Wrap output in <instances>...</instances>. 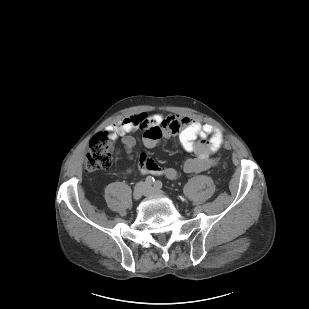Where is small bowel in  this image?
I'll use <instances>...</instances> for the list:
<instances>
[{
  "label": "small bowel",
  "instance_id": "1",
  "mask_svg": "<svg viewBox=\"0 0 309 309\" xmlns=\"http://www.w3.org/2000/svg\"><path fill=\"white\" fill-rule=\"evenodd\" d=\"M138 130L144 131L143 144L147 148L156 147L163 138L178 137L184 150L194 153V157L183 162L182 169L186 173H198L216 166L218 160L214 154L221 149L224 141L220 129L200 120L179 115H149L145 112L108 126L105 134L111 140L120 137L127 153L131 155L136 145L132 134ZM138 167L142 174L165 176L168 179L178 176L177 169L160 166L146 155L140 156Z\"/></svg>",
  "mask_w": 309,
  "mask_h": 309
}]
</instances>
